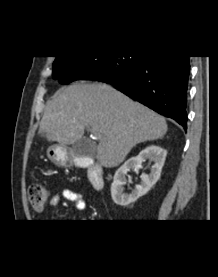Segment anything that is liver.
<instances>
[{
  "label": "liver",
  "mask_w": 218,
  "mask_h": 277,
  "mask_svg": "<svg viewBox=\"0 0 218 277\" xmlns=\"http://www.w3.org/2000/svg\"><path fill=\"white\" fill-rule=\"evenodd\" d=\"M85 127L100 138L96 158L107 167L122 163L138 143L162 138L164 117L105 83H77L48 101L39 133L61 146L81 140Z\"/></svg>",
  "instance_id": "6515ba94"
}]
</instances>
